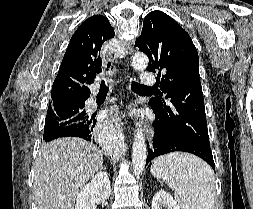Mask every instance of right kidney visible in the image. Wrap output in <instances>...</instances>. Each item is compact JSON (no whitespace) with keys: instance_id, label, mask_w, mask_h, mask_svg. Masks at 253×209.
Listing matches in <instances>:
<instances>
[{"instance_id":"1","label":"right kidney","mask_w":253,"mask_h":209,"mask_svg":"<svg viewBox=\"0 0 253 209\" xmlns=\"http://www.w3.org/2000/svg\"><path fill=\"white\" fill-rule=\"evenodd\" d=\"M110 193L108 174L106 172H99L78 193L75 209H94L96 198L106 200L109 198Z\"/></svg>"}]
</instances>
